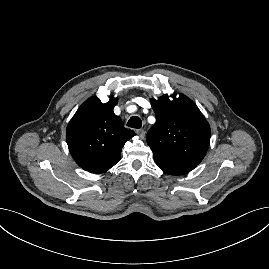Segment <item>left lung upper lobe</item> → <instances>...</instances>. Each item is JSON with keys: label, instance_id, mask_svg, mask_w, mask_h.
Segmentation results:
<instances>
[{"label": "left lung upper lobe", "instance_id": "left-lung-upper-lobe-1", "mask_svg": "<svg viewBox=\"0 0 269 269\" xmlns=\"http://www.w3.org/2000/svg\"><path fill=\"white\" fill-rule=\"evenodd\" d=\"M173 98L151 100L156 123L147 133V143L159 163L198 165L209 147L210 126L192 100L185 95Z\"/></svg>", "mask_w": 269, "mask_h": 269}]
</instances>
